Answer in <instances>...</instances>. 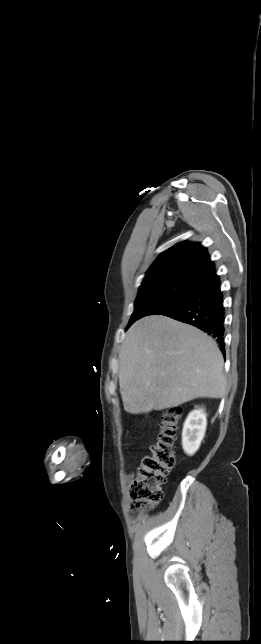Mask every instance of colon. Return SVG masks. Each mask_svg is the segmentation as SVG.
Here are the masks:
<instances>
[{"label": "colon", "instance_id": "1", "mask_svg": "<svg viewBox=\"0 0 261 644\" xmlns=\"http://www.w3.org/2000/svg\"><path fill=\"white\" fill-rule=\"evenodd\" d=\"M181 408L166 409L162 416L156 442L150 447L131 484V495L136 511L151 509L163 498L162 486L175 465V442Z\"/></svg>", "mask_w": 261, "mask_h": 644}]
</instances>
